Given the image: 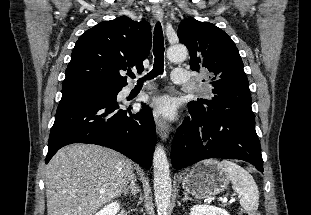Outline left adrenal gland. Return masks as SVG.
Returning <instances> with one entry per match:
<instances>
[{"mask_svg":"<svg viewBox=\"0 0 311 215\" xmlns=\"http://www.w3.org/2000/svg\"><path fill=\"white\" fill-rule=\"evenodd\" d=\"M186 200H193L192 198L188 197L187 193H184V198L182 199L183 202H185Z\"/></svg>","mask_w":311,"mask_h":215,"instance_id":"obj_1","label":"left adrenal gland"}]
</instances>
